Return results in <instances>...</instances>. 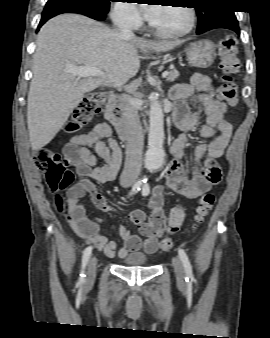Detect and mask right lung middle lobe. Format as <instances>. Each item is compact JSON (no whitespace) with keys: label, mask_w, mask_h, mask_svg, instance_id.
Returning <instances> with one entry per match:
<instances>
[{"label":"right lung middle lobe","mask_w":270,"mask_h":338,"mask_svg":"<svg viewBox=\"0 0 270 338\" xmlns=\"http://www.w3.org/2000/svg\"><path fill=\"white\" fill-rule=\"evenodd\" d=\"M110 1L113 0H48L45 8L51 7H82L94 11L108 13Z\"/></svg>","instance_id":"1"}]
</instances>
